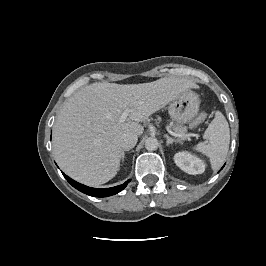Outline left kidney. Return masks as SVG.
I'll return each mask as SVG.
<instances>
[{"instance_id":"obj_1","label":"left kidney","mask_w":266,"mask_h":266,"mask_svg":"<svg viewBox=\"0 0 266 266\" xmlns=\"http://www.w3.org/2000/svg\"><path fill=\"white\" fill-rule=\"evenodd\" d=\"M174 161L181 170L191 175L202 174L205 171L204 161L188 152L176 153Z\"/></svg>"}]
</instances>
